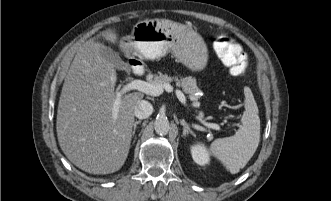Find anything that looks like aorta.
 <instances>
[{
    "mask_svg": "<svg viewBox=\"0 0 331 201\" xmlns=\"http://www.w3.org/2000/svg\"><path fill=\"white\" fill-rule=\"evenodd\" d=\"M154 129L157 134L166 135L170 130L169 121L166 117H158L154 122Z\"/></svg>",
    "mask_w": 331,
    "mask_h": 201,
    "instance_id": "obj_1",
    "label": "aorta"
}]
</instances>
